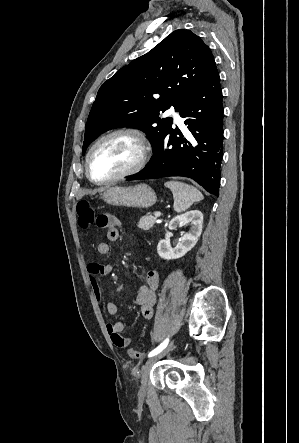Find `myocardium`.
Returning <instances> with one entry per match:
<instances>
[{
  "instance_id": "f54148a6",
  "label": "myocardium",
  "mask_w": 299,
  "mask_h": 443,
  "mask_svg": "<svg viewBox=\"0 0 299 443\" xmlns=\"http://www.w3.org/2000/svg\"><path fill=\"white\" fill-rule=\"evenodd\" d=\"M117 135L128 136L136 141L138 148H139L138 159L136 160V162L132 166H130L128 169L124 170L123 172H121L113 177L107 178V179L97 180V179L93 178L92 173H91V158L94 153V150L97 148V146L100 143H102L106 139L117 136ZM150 150H151V147H150L149 141L140 130H137L134 128H120V129L113 130L111 132L104 134L100 138H98L89 148L87 156H86V165H85L86 166V175L89 178V180L95 184L107 185V184L117 182L121 179H124V178L131 176V175L139 172L140 170H142L148 161Z\"/></svg>"
}]
</instances>
